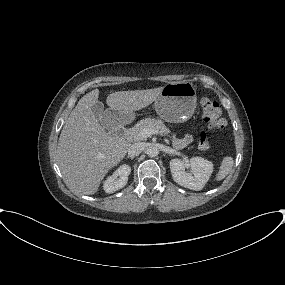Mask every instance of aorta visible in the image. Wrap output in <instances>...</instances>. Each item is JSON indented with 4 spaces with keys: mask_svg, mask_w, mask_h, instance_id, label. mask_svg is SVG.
Here are the masks:
<instances>
[{
    "mask_svg": "<svg viewBox=\"0 0 285 285\" xmlns=\"http://www.w3.org/2000/svg\"><path fill=\"white\" fill-rule=\"evenodd\" d=\"M146 154L149 157H156L159 154V150L156 146H150L146 149Z\"/></svg>",
    "mask_w": 285,
    "mask_h": 285,
    "instance_id": "1",
    "label": "aorta"
}]
</instances>
